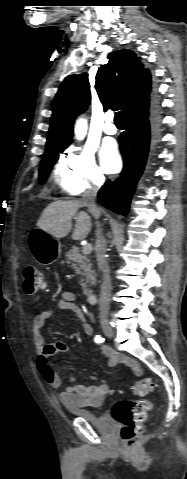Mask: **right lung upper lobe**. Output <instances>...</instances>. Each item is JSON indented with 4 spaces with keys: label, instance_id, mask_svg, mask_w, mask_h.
Segmentation results:
<instances>
[{
    "label": "right lung upper lobe",
    "instance_id": "1",
    "mask_svg": "<svg viewBox=\"0 0 187 479\" xmlns=\"http://www.w3.org/2000/svg\"><path fill=\"white\" fill-rule=\"evenodd\" d=\"M108 63L96 75L95 88L104 110L118 108L124 115L148 105L156 94L149 69L131 50L109 54ZM91 99L87 74L70 75L61 84L53 106L46 151L67 148L75 118L87 109Z\"/></svg>",
    "mask_w": 187,
    "mask_h": 479
}]
</instances>
